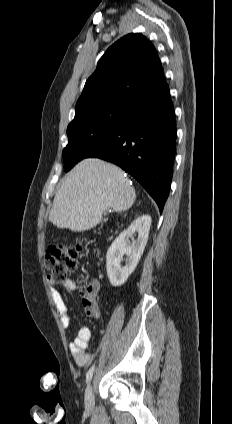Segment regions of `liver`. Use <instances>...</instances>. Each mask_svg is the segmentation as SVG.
Returning <instances> with one entry per match:
<instances>
[{"label":"liver","instance_id":"1","mask_svg":"<svg viewBox=\"0 0 232 424\" xmlns=\"http://www.w3.org/2000/svg\"><path fill=\"white\" fill-rule=\"evenodd\" d=\"M135 198V189L119 167L98 158H87L62 180L49 221L60 229L86 231L99 224L107 208L126 211Z\"/></svg>","mask_w":232,"mask_h":424}]
</instances>
